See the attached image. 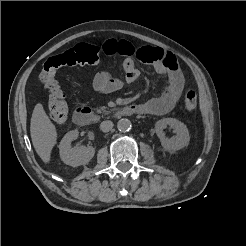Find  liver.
<instances>
[{
  "mask_svg": "<svg viewBox=\"0 0 246 246\" xmlns=\"http://www.w3.org/2000/svg\"><path fill=\"white\" fill-rule=\"evenodd\" d=\"M30 134L35 151L44 163H49L52 149L57 142V131L41 103H37L34 107Z\"/></svg>",
  "mask_w": 246,
  "mask_h": 246,
  "instance_id": "1",
  "label": "liver"
}]
</instances>
